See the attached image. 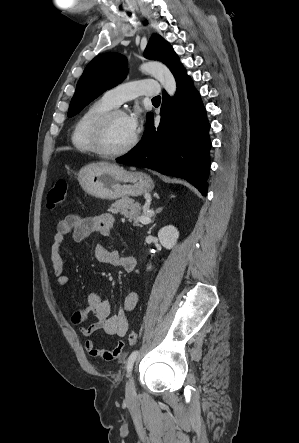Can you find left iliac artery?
Wrapping results in <instances>:
<instances>
[{"label": "left iliac artery", "instance_id": "44dca946", "mask_svg": "<svg viewBox=\"0 0 299 443\" xmlns=\"http://www.w3.org/2000/svg\"><path fill=\"white\" fill-rule=\"evenodd\" d=\"M138 354H139V351L135 350L128 357L127 364H126V366H127V373H129L132 370L134 362H135Z\"/></svg>", "mask_w": 299, "mask_h": 443}]
</instances>
